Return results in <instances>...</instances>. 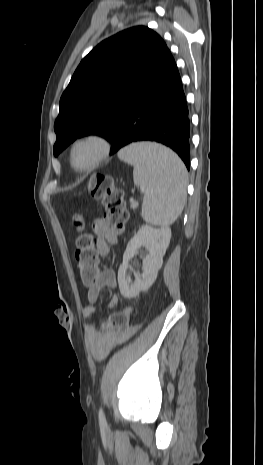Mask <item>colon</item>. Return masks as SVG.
<instances>
[{"label":"colon","instance_id":"1","mask_svg":"<svg viewBox=\"0 0 263 465\" xmlns=\"http://www.w3.org/2000/svg\"><path fill=\"white\" fill-rule=\"evenodd\" d=\"M89 189L92 196L100 200L105 207L103 218L105 224L117 233H121L128 219L122 191L115 186L113 179L106 175L94 176L90 181ZM73 225L80 232L75 251L80 277L86 286H92L100 275L94 238L90 233L83 232L84 222L80 216L74 217ZM132 315V307L127 306L112 313L100 328L103 332L131 330L133 327L129 323Z\"/></svg>","mask_w":263,"mask_h":465}]
</instances>
